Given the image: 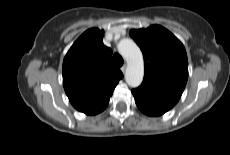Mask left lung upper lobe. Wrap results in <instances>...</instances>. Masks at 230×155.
<instances>
[{
	"mask_svg": "<svg viewBox=\"0 0 230 155\" xmlns=\"http://www.w3.org/2000/svg\"><path fill=\"white\" fill-rule=\"evenodd\" d=\"M130 36L141 48L145 65L142 85L132 92L173 107L188 79V60L183 44L159 25L131 30Z\"/></svg>",
	"mask_w": 230,
	"mask_h": 155,
	"instance_id": "5c2ea615",
	"label": "left lung upper lobe"
}]
</instances>
